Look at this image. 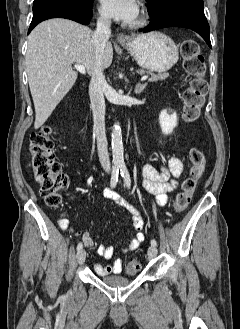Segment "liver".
<instances>
[{"mask_svg":"<svg viewBox=\"0 0 240 329\" xmlns=\"http://www.w3.org/2000/svg\"><path fill=\"white\" fill-rule=\"evenodd\" d=\"M93 35L86 26L58 18L40 23L30 33L25 59L35 107V129L46 122L73 87L78 76L73 63L83 65L92 74L95 64ZM112 59V44L107 42L103 69L111 65Z\"/></svg>","mask_w":240,"mask_h":329,"instance_id":"liver-1","label":"liver"}]
</instances>
